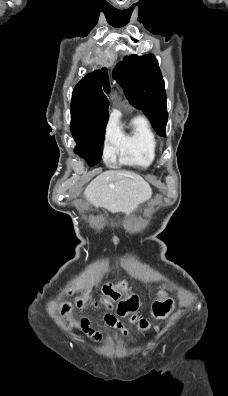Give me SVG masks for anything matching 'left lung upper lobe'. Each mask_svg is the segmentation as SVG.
<instances>
[{
  "instance_id": "5c2ea615",
  "label": "left lung upper lobe",
  "mask_w": 228,
  "mask_h": 396,
  "mask_svg": "<svg viewBox=\"0 0 228 396\" xmlns=\"http://www.w3.org/2000/svg\"><path fill=\"white\" fill-rule=\"evenodd\" d=\"M129 102L142 110L155 131L165 136L168 119L165 84L153 54L125 56L113 70Z\"/></svg>"
}]
</instances>
